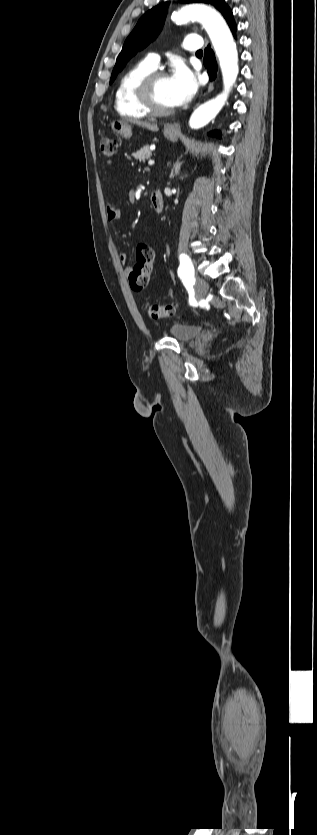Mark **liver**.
Instances as JSON below:
<instances>
[{
	"label": "liver",
	"mask_w": 317,
	"mask_h": 835,
	"mask_svg": "<svg viewBox=\"0 0 317 835\" xmlns=\"http://www.w3.org/2000/svg\"><path fill=\"white\" fill-rule=\"evenodd\" d=\"M135 123L139 127L148 129L149 131H152V132H157L159 130L157 124H151V123L145 122V121H136Z\"/></svg>",
	"instance_id": "6515ba94"
}]
</instances>
